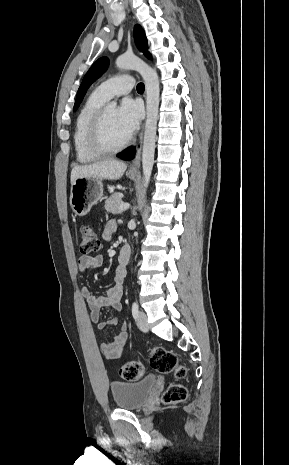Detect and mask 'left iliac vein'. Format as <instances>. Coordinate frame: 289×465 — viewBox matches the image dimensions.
I'll list each match as a JSON object with an SVG mask.
<instances>
[{"label": "left iliac vein", "mask_w": 289, "mask_h": 465, "mask_svg": "<svg viewBox=\"0 0 289 465\" xmlns=\"http://www.w3.org/2000/svg\"><path fill=\"white\" fill-rule=\"evenodd\" d=\"M137 326L138 328L143 331L147 332L149 327H148V322H147V316L143 311H140L137 316Z\"/></svg>", "instance_id": "4c4485c4"}]
</instances>
